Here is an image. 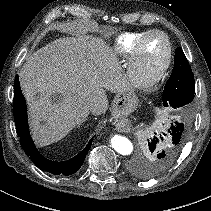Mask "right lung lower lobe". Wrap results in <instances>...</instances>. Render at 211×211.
I'll list each match as a JSON object with an SVG mask.
<instances>
[{
    "mask_svg": "<svg viewBox=\"0 0 211 211\" xmlns=\"http://www.w3.org/2000/svg\"><path fill=\"white\" fill-rule=\"evenodd\" d=\"M13 110L16 129L20 137V144L34 164L54 175H71L80 169L91 147L92 139H90L87 146L79 154L67 161L54 162L43 157L34 146L30 137L27 123L26 102L21 92L18 76L15 77L14 83Z\"/></svg>",
    "mask_w": 211,
    "mask_h": 211,
    "instance_id": "obj_1",
    "label": "right lung lower lobe"
}]
</instances>
